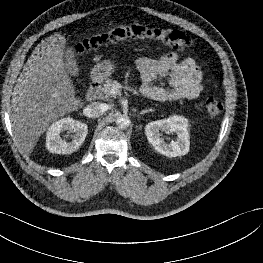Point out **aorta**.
<instances>
[{"instance_id":"obj_1","label":"aorta","mask_w":263,"mask_h":263,"mask_svg":"<svg viewBox=\"0 0 263 263\" xmlns=\"http://www.w3.org/2000/svg\"><path fill=\"white\" fill-rule=\"evenodd\" d=\"M131 121L127 115H120L116 120V125L119 129H127Z\"/></svg>"}]
</instances>
